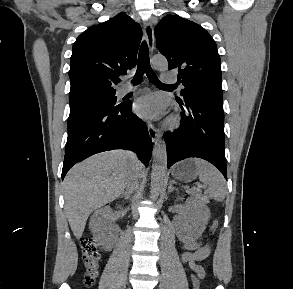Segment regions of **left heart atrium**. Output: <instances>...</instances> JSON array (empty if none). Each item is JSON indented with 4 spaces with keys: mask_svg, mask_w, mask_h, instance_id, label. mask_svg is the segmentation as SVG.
I'll return each instance as SVG.
<instances>
[{
    "mask_svg": "<svg viewBox=\"0 0 293 289\" xmlns=\"http://www.w3.org/2000/svg\"><path fill=\"white\" fill-rule=\"evenodd\" d=\"M164 101L158 94L150 93L140 97L135 103L136 113L146 119H154L163 114Z\"/></svg>",
    "mask_w": 293,
    "mask_h": 289,
    "instance_id": "39dd6f15",
    "label": "left heart atrium"
}]
</instances>
